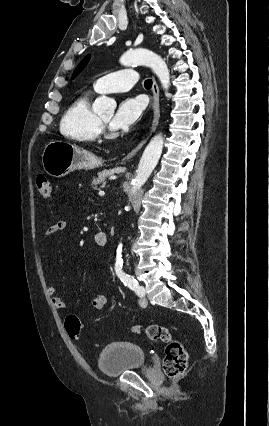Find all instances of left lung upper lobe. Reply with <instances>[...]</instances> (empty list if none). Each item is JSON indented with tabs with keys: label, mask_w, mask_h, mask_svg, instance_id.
<instances>
[{
	"label": "left lung upper lobe",
	"mask_w": 269,
	"mask_h": 426,
	"mask_svg": "<svg viewBox=\"0 0 269 426\" xmlns=\"http://www.w3.org/2000/svg\"><path fill=\"white\" fill-rule=\"evenodd\" d=\"M90 59V55H87L81 62L80 64L77 66V68L75 69L74 73H73V78H75L82 70L83 68L86 66V64L88 63Z\"/></svg>",
	"instance_id": "left-lung-upper-lobe-1"
}]
</instances>
